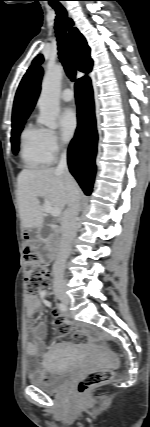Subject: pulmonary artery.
<instances>
[{"mask_svg": "<svg viewBox=\"0 0 150 427\" xmlns=\"http://www.w3.org/2000/svg\"><path fill=\"white\" fill-rule=\"evenodd\" d=\"M61 100L65 101V102H69L73 99V92L71 89L66 88L62 91L61 95H60Z\"/></svg>", "mask_w": 150, "mask_h": 427, "instance_id": "obj_1", "label": "pulmonary artery"}]
</instances>
